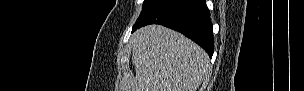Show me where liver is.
Masks as SVG:
<instances>
[{
  "label": "liver",
  "mask_w": 304,
  "mask_h": 91,
  "mask_svg": "<svg viewBox=\"0 0 304 91\" xmlns=\"http://www.w3.org/2000/svg\"><path fill=\"white\" fill-rule=\"evenodd\" d=\"M131 41L136 75L126 91H197L208 76L207 53L178 32L149 25Z\"/></svg>",
  "instance_id": "6515ba94"
}]
</instances>
